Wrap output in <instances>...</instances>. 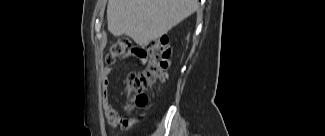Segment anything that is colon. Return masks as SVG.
<instances>
[{
	"label": "colon",
	"instance_id": "1",
	"mask_svg": "<svg viewBox=\"0 0 325 136\" xmlns=\"http://www.w3.org/2000/svg\"><path fill=\"white\" fill-rule=\"evenodd\" d=\"M144 49L147 53V66L130 84V88L136 93V104L140 106L147 102L145 92L167 79L171 55L170 45L165 37L152 41ZM130 50L131 41L128 38L113 42L106 57L107 64L112 65L124 59Z\"/></svg>",
	"mask_w": 325,
	"mask_h": 136
}]
</instances>
